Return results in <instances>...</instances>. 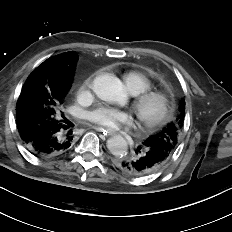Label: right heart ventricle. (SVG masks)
I'll list each match as a JSON object with an SVG mask.
<instances>
[{"mask_svg": "<svg viewBox=\"0 0 232 232\" xmlns=\"http://www.w3.org/2000/svg\"><path fill=\"white\" fill-rule=\"evenodd\" d=\"M123 80L127 90L133 95H138L152 87L151 80L143 73L137 71L125 73Z\"/></svg>", "mask_w": 232, "mask_h": 232, "instance_id": "obj_1", "label": "right heart ventricle"}]
</instances>
